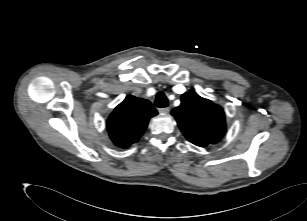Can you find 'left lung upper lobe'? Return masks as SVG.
I'll return each instance as SVG.
<instances>
[{"instance_id": "5c2ea615", "label": "left lung upper lobe", "mask_w": 307, "mask_h": 221, "mask_svg": "<svg viewBox=\"0 0 307 221\" xmlns=\"http://www.w3.org/2000/svg\"><path fill=\"white\" fill-rule=\"evenodd\" d=\"M171 114L184 136L200 147L217 143L226 130L223 109L191 92L181 96L180 106L174 108Z\"/></svg>"}]
</instances>
